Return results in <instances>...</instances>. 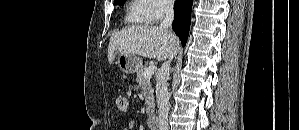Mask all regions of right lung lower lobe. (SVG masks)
I'll return each instance as SVG.
<instances>
[{
    "label": "right lung lower lobe",
    "instance_id": "obj_1",
    "mask_svg": "<svg viewBox=\"0 0 299 130\" xmlns=\"http://www.w3.org/2000/svg\"><path fill=\"white\" fill-rule=\"evenodd\" d=\"M192 2L193 0H176L174 4L175 18L172 27L180 38L182 46H185L188 38Z\"/></svg>",
    "mask_w": 299,
    "mask_h": 130
}]
</instances>
